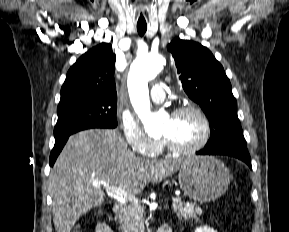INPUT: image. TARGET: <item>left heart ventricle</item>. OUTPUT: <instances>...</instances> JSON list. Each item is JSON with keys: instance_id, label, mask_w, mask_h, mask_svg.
<instances>
[{"instance_id": "left-heart-ventricle-1", "label": "left heart ventricle", "mask_w": 289, "mask_h": 232, "mask_svg": "<svg viewBox=\"0 0 289 232\" xmlns=\"http://www.w3.org/2000/svg\"><path fill=\"white\" fill-rule=\"evenodd\" d=\"M203 124L194 112L169 117L163 124L162 136L178 146H191L203 135Z\"/></svg>"}]
</instances>
